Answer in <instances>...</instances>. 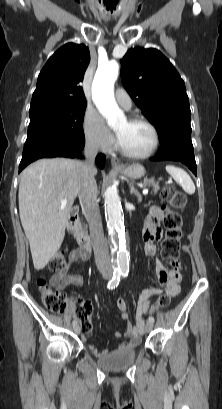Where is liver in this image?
<instances>
[{
    "label": "liver",
    "instance_id": "6515ba94",
    "mask_svg": "<svg viewBox=\"0 0 222 409\" xmlns=\"http://www.w3.org/2000/svg\"><path fill=\"white\" fill-rule=\"evenodd\" d=\"M81 164L66 158L39 159L21 173L20 220L36 270L45 268L61 247L68 214L79 194ZM62 200L67 204L62 205Z\"/></svg>",
    "mask_w": 222,
    "mask_h": 409
}]
</instances>
